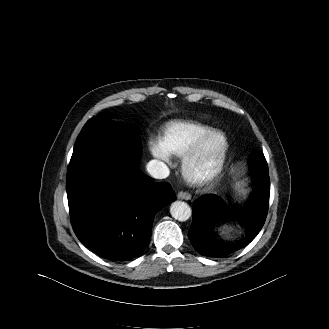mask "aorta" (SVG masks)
<instances>
[{
	"label": "aorta",
	"instance_id": "1",
	"mask_svg": "<svg viewBox=\"0 0 329 329\" xmlns=\"http://www.w3.org/2000/svg\"><path fill=\"white\" fill-rule=\"evenodd\" d=\"M170 213L174 219L181 222L188 220L192 215L190 206L183 201L173 202L170 206Z\"/></svg>",
	"mask_w": 329,
	"mask_h": 329
}]
</instances>
